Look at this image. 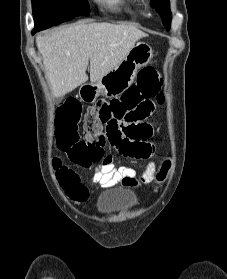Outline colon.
<instances>
[{
	"instance_id": "1",
	"label": "colon",
	"mask_w": 227,
	"mask_h": 279,
	"mask_svg": "<svg viewBox=\"0 0 227 279\" xmlns=\"http://www.w3.org/2000/svg\"><path fill=\"white\" fill-rule=\"evenodd\" d=\"M161 85L162 79L154 69L140 70L136 83L119 97L100 99L88 107L84 115L85 138H81L78 132V124L83 116L82 105L77 100L66 102L57 111L55 120V135L60 150L70 162L89 167L103 156L107 139L111 141L122 132L132 141L130 144L125 143L128 157L148 158L153 152L148 142L153 129L142 121L149 118L156 106L164 102V96L160 93ZM53 164L58 173L62 172L65 191L76 195L83 188L78 174L63 165L59 158H54ZM168 168L169 163L165 162L158 175L160 180L165 178Z\"/></svg>"
}]
</instances>
